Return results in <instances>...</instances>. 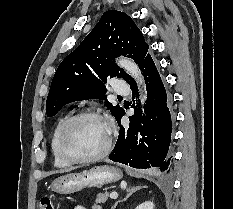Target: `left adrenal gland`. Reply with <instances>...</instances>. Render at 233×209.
Returning a JSON list of instances; mask_svg holds the SVG:
<instances>
[{"instance_id": "left-adrenal-gland-1", "label": "left adrenal gland", "mask_w": 233, "mask_h": 209, "mask_svg": "<svg viewBox=\"0 0 233 209\" xmlns=\"http://www.w3.org/2000/svg\"><path fill=\"white\" fill-rule=\"evenodd\" d=\"M140 189H141V187H132V188L126 189V191L128 192V194L126 195V197L123 200H121V201H117L111 209H115L116 206L118 205V203L126 201L133 193H135L136 191H138Z\"/></svg>"}]
</instances>
